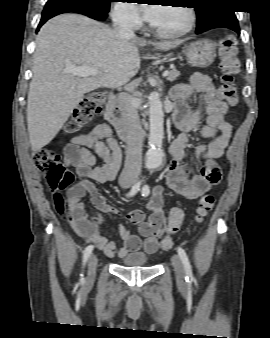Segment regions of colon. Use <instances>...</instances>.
<instances>
[{"label": "colon", "mask_w": 270, "mask_h": 338, "mask_svg": "<svg viewBox=\"0 0 270 338\" xmlns=\"http://www.w3.org/2000/svg\"><path fill=\"white\" fill-rule=\"evenodd\" d=\"M219 50L221 57L220 68L222 71V96L230 105L236 103V87L235 75L240 70V61L238 59V42L233 36H225L219 42ZM105 96L103 93L94 92L83 98L72 117L65 124L64 132L68 134L75 133L82 127L88 125L95 116L103 111ZM34 162L37 168L44 174L46 182L50 190L56 193L66 189L73 181V173L68 169L67 165L62 163L57 152L40 148L34 152ZM213 172H219V166L215 163H209L206 166ZM215 204V196L206 194L200 200L197 209L196 220L202 222L203 218L213 209ZM55 206L59 212L61 208L58 200H55ZM184 219L183 209L175 207L169 214V222L166 227L167 234L161 239V248L168 251L173 246L172 234L176 233Z\"/></svg>", "instance_id": "colon-1"}]
</instances>
